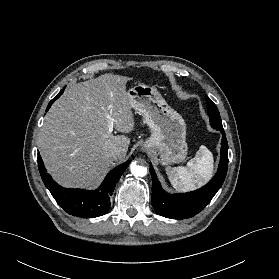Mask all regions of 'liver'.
Instances as JSON below:
<instances>
[{
	"mask_svg": "<svg viewBox=\"0 0 279 279\" xmlns=\"http://www.w3.org/2000/svg\"><path fill=\"white\" fill-rule=\"evenodd\" d=\"M131 78L104 74L71 85L46 114L38 135L40 154L53 179L68 188H93L115 161H122L130 139L108 131L129 133L135 127L126 83ZM121 150L117 157L109 152Z\"/></svg>",
	"mask_w": 279,
	"mask_h": 279,
	"instance_id": "obj_1",
	"label": "liver"
}]
</instances>
